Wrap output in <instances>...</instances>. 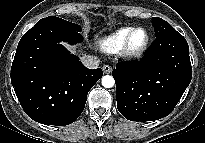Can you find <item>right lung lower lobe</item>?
I'll use <instances>...</instances> for the list:
<instances>
[{
    "label": "right lung lower lobe",
    "mask_w": 205,
    "mask_h": 143,
    "mask_svg": "<svg viewBox=\"0 0 205 143\" xmlns=\"http://www.w3.org/2000/svg\"><path fill=\"white\" fill-rule=\"evenodd\" d=\"M80 39L71 28L39 20L19 41L11 83L23 110L34 121L64 126L84 110L87 94L103 71L86 68L60 44Z\"/></svg>",
    "instance_id": "98d812e1"
}]
</instances>
